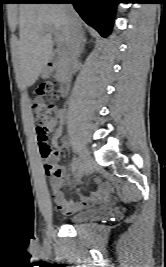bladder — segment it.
<instances>
[{"instance_id":"31cf9c89","label":"bladder","mask_w":166,"mask_h":267,"mask_svg":"<svg viewBox=\"0 0 166 267\" xmlns=\"http://www.w3.org/2000/svg\"><path fill=\"white\" fill-rule=\"evenodd\" d=\"M93 214H94V211H92V210L78 212V213H75V214L69 216L67 219V222L69 224H77L80 222H84V221L88 220L89 218H91L93 216Z\"/></svg>"}]
</instances>
